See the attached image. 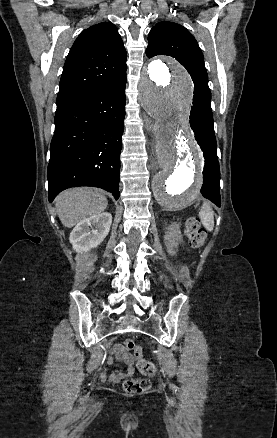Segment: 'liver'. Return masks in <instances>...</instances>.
Wrapping results in <instances>:
<instances>
[{
    "instance_id": "6515ba94",
    "label": "liver",
    "mask_w": 277,
    "mask_h": 438,
    "mask_svg": "<svg viewBox=\"0 0 277 438\" xmlns=\"http://www.w3.org/2000/svg\"><path fill=\"white\" fill-rule=\"evenodd\" d=\"M55 208L65 228H73L78 222L97 216L108 206L107 198L96 188H71L57 196Z\"/></svg>"
}]
</instances>
